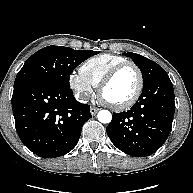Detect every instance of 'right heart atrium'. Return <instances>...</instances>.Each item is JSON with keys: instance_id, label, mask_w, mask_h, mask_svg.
Masks as SVG:
<instances>
[{"instance_id": "obj_1", "label": "right heart atrium", "mask_w": 193, "mask_h": 193, "mask_svg": "<svg viewBox=\"0 0 193 193\" xmlns=\"http://www.w3.org/2000/svg\"><path fill=\"white\" fill-rule=\"evenodd\" d=\"M68 83L79 102H87L94 92L93 85L81 72L72 71L68 77Z\"/></svg>"}]
</instances>
